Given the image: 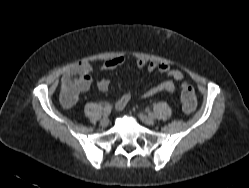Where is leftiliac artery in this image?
<instances>
[{
    "label": "left iliac artery",
    "instance_id": "44dca946",
    "mask_svg": "<svg viewBox=\"0 0 249 188\" xmlns=\"http://www.w3.org/2000/svg\"><path fill=\"white\" fill-rule=\"evenodd\" d=\"M150 117H154V114L152 112H148Z\"/></svg>",
    "mask_w": 249,
    "mask_h": 188
}]
</instances>
